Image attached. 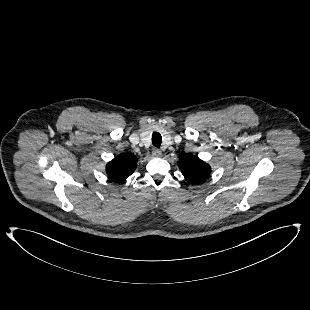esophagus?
<instances>
[{
	"instance_id": "obj_1",
	"label": "esophagus",
	"mask_w": 310,
	"mask_h": 310,
	"mask_svg": "<svg viewBox=\"0 0 310 310\" xmlns=\"http://www.w3.org/2000/svg\"><path fill=\"white\" fill-rule=\"evenodd\" d=\"M161 154H162V152H161V150H159V149H154V150L152 151V155H153L154 157H160Z\"/></svg>"
}]
</instances>
